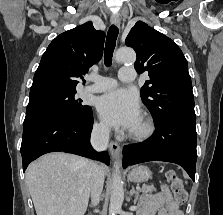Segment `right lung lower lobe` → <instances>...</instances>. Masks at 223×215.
Masks as SVG:
<instances>
[{
  "label": "right lung lower lobe",
  "mask_w": 223,
  "mask_h": 215,
  "mask_svg": "<svg viewBox=\"0 0 223 215\" xmlns=\"http://www.w3.org/2000/svg\"><path fill=\"white\" fill-rule=\"evenodd\" d=\"M93 114L85 121L45 119L23 125L21 155L23 171L39 156L56 151L73 153L109 165V156L96 153L90 144Z\"/></svg>",
  "instance_id": "right-lung-lower-lobe-1"
}]
</instances>
